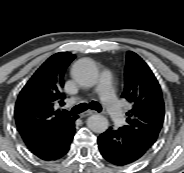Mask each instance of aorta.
Instances as JSON below:
<instances>
[{
	"label": "aorta",
	"instance_id": "obj_1",
	"mask_svg": "<svg viewBox=\"0 0 184 173\" xmlns=\"http://www.w3.org/2000/svg\"><path fill=\"white\" fill-rule=\"evenodd\" d=\"M74 73L77 81L85 87H92L97 84L98 70L90 60L78 62L74 67ZM87 125L93 132L103 133L108 129L109 121L101 114H94L87 119Z\"/></svg>",
	"mask_w": 184,
	"mask_h": 173
}]
</instances>
